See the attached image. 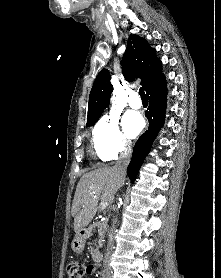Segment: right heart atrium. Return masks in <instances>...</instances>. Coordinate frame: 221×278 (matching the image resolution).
<instances>
[{
  "instance_id": "right-heart-atrium-1",
  "label": "right heart atrium",
  "mask_w": 221,
  "mask_h": 278,
  "mask_svg": "<svg viewBox=\"0 0 221 278\" xmlns=\"http://www.w3.org/2000/svg\"><path fill=\"white\" fill-rule=\"evenodd\" d=\"M93 147L103 161H112L130 151L131 143L122 132L117 116L106 114L99 119L93 129Z\"/></svg>"
}]
</instances>
